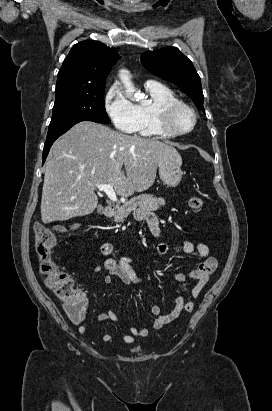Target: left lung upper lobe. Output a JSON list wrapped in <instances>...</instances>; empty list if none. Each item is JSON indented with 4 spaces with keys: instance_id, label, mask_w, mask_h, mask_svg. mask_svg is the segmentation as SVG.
<instances>
[{
    "instance_id": "obj_1",
    "label": "left lung upper lobe",
    "mask_w": 272,
    "mask_h": 411,
    "mask_svg": "<svg viewBox=\"0 0 272 411\" xmlns=\"http://www.w3.org/2000/svg\"><path fill=\"white\" fill-rule=\"evenodd\" d=\"M143 66L152 74L174 83L191 97L204 112L201 80L189 58L176 47L147 51L140 57Z\"/></svg>"
}]
</instances>
